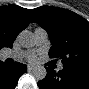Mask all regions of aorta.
<instances>
[{"instance_id":"1","label":"aorta","mask_w":89,"mask_h":89,"mask_svg":"<svg viewBox=\"0 0 89 89\" xmlns=\"http://www.w3.org/2000/svg\"><path fill=\"white\" fill-rule=\"evenodd\" d=\"M18 41L25 48L34 47L36 44V38H35L34 34L28 30H24L18 35ZM46 74H47V71H46L45 67H43V66H38L32 72V76L36 80L44 79L46 77Z\"/></svg>"}]
</instances>
